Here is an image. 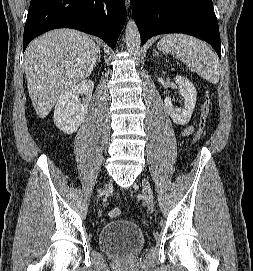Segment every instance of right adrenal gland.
<instances>
[{
	"label": "right adrenal gland",
	"mask_w": 253,
	"mask_h": 271,
	"mask_svg": "<svg viewBox=\"0 0 253 271\" xmlns=\"http://www.w3.org/2000/svg\"><path fill=\"white\" fill-rule=\"evenodd\" d=\"M100 58H101V55L99 54L98 59H97V62H98V63L101 62Z\"/></svg>",
	"instance_id": "obj_1"
}]
</instances>
